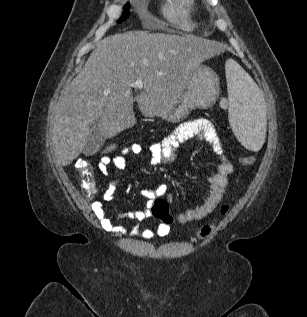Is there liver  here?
I'll return each mask as SVG.
<instances>
[{"label": "liver", "instance_id": "obj_1", "mask_svg": "<svg viewBox=\"0 0 307 317\" xmlns=\"http://www.w3.org/2000/svg\"><path fill=\"white\" fill-rule=\"evenodd\" d=\"M223 54L220 44L194 35L136 31L99 41L58 102L52 130L58 161L67 166L82 153L95 120L107 138L135 125L134 101L145 117L169 110L193 68ZM137 79L144 86L133 99Z\"/></svg>", "mask_w": 307, "mask_h": 317}]
</instances>
